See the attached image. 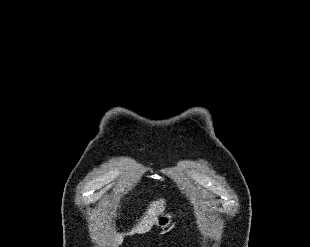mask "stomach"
I'll return each instance as SVG.
<instances>
[{
  "label": "stomach",
  "instance_id": "stomach-1",
  "mask_svg": "<svg viewBox=\"0 0 310 247\" xmlns=\"http://www.w3.org/2000/svg\"><path fill=\"white\" fill-rule=\"evenodd\" d=\"M175 215L170 209H163L157 216L154 225L162 229L164 232L171 230L175 223H173Z\"/></svg>",
  "mask_w": 310,
  "mask_h": 247
}]
</instances>
